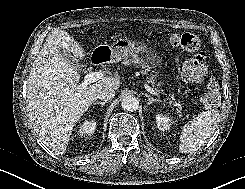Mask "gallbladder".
<instances>
[{
	"instance_id": "obj_1",
	"label": "gallbladder",
	"mask_w": 245,
	"mask_h": 189,
	"mask_svg": "<svg viewBox=\"0 0 245 189\" xmlns=\"http://www.w3.org/2000/svg\"><path fill=\"white\" fill-rule=\"evenodd\" d=\"M60 52L62 54V57L65 58L66 62H68L74 69L81 70L83 68L82 63H80L77 58L72 56L69 51L61 50Z\"/></svg>"
}]
</instances>
